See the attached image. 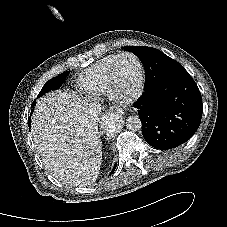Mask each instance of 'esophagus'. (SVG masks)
Returning a JSON list of instances; mask_svg holds the SVG:
<instances>
[{
  "instance_id": "esophagus-1",
  "label": "esophagus",
  "mask_w": 227,
  "mask_h": 227,
  "mask_svg": "<svg viewBox=\"0 0 227 227\" xmlns=\"http://www.w3.org/2000/svg\"><path fill=\"white\" fill-rule=\"evenodd\" d=\"M112 115L116 116L117 118L122 117L121 113L119 111H115V110L107 112L106 117L107 116H112Z\"/></svg>"
}]
</instances>
